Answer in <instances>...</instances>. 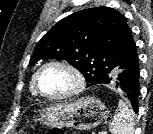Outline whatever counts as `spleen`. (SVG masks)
<instances>
[{"mask_svg":"<svg viewBox=\"0 0 153 134\" xmlns=\"http://www.w3.org/2000/svg\"><path fill=\"white\" fill-rule=\"evenodd\" d=\"M112 134H133L134 112L128 104L119 101L116 114L110 124Z\"/></svg>","mask_w":153,"mask_h":134,"instance_id":"3e777b00","label":"spleen"}]
</instances>
